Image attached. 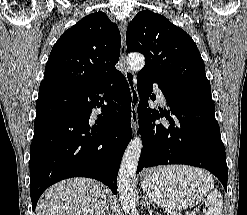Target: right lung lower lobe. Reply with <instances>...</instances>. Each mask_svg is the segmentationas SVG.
<instances>
[{
  "mask_svg": "<svg viewBox=\"0 0 247 215\" xmlns=\"http://www.w3.org/2000/svg\"><path fill=\"white\" fill-rule=\"evenodd\" d=\"M96 107L102 113L93 122ZM130 121L131 93L118 70L87 87L42 81L30 147L32 209L47 187L70 177L99 180L116 194Z\"/></svg>",
  "mask_w": 247,
  "mask_h": 215,
  "instance_id": "98d812e1",
  "label": "right lung lower lobe"
}]
</instances>
